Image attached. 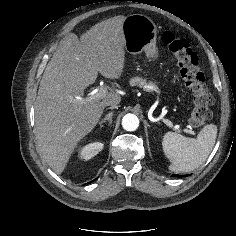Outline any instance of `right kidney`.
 I'll return each mask as SVG.
<instances>
[{
	"instance_id": "ca27d5eb",
	"label": "right kidney",
	"mask_w": 236,
	"mask_h": 236,
	"mask_svg": "<svg viewBox=\"0 0 236 236\" xmlns=\"http://www.w3.org/2000/svg\"><path fill=\"white\" fill-rule=\"evenodd\" d=\"M103 149V143L94 142L84 146L80 152L79 156L81 159L89 160L98 154L99 151Z\"/></svg>"
}]
</instances>
